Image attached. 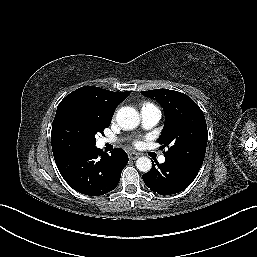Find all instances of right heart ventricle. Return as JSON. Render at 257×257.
I'll return each mask as SVG.
<instances>
[{"label":"right heart ventricle","mask_w":257,"mask_h":257,"mask_svg":"<svg viewBox=\"0 0 257 257\" xmlns=\"http://www.w3.org/2000/svg\"><path fill=\"white\" fill-rule=\"evenodd\" d=\"M147 107H155L152 103L150 102H144L142 105H141V110L143 108H147Z\"/></svg>","instance_id":"obj_1"}]
</instances>
